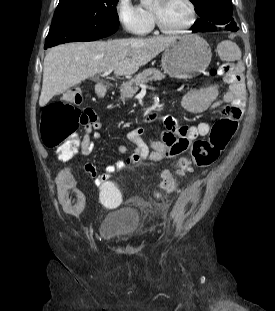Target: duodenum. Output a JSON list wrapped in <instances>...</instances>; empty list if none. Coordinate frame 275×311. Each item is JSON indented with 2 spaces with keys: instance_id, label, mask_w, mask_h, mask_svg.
Returning <instances> with one entry per match:
<instances>
[{
  "instance_id": "410a0bca",
  "label": "duodenum",
  "mask_w": 275,
  "mask_h": 311,
  "mask_svg": "<svg viewBox=\"0 0 275 311\" xmlns=\"http://www.w3.org/2000/svg\"><path fill=\"white\" fill-rule=\"evenodd\" d=\"M95 92L97 96L104 97L107 92V84L105 82H99L96 85Z\"/></svg>"
}]
</instances>
